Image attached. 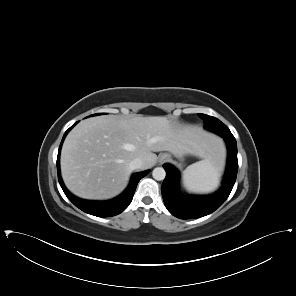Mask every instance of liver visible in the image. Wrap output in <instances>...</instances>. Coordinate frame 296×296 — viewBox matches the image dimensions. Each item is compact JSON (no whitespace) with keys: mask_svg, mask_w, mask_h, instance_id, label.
Masks as SVG:
<instances>
[{"mask_svg":"<svg viewBox=\"0 0 296 296\" xmlns=\"http://www.w3.org/2000/svg\"><path fill=\"white\" fill-rule=\"evenodd\" d=\"M219 148L221 142L202 128L171 122L164 116H98L81 121L67 135L61 174L76 196L105 200L124 190L133 159L140 158L141 169H149L157 162L153 152L209 158Z\"/></svg>","mask_w":296,"mask_h":296,"instance_id":"1","label":"liver"}]
</instances>
